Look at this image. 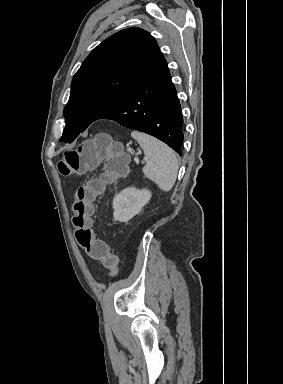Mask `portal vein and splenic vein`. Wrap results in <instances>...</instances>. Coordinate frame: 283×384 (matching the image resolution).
Masks as SVG:
<instances>
[{
  "mask_svg": "<svg viewBox=\"0 0 283 384\" xmlns=\"http://www.w3.org/2000/svg\"><path fill=\"white\" fill-rule=\"evenodd\" d=\"M146 160H148V158H146ZM134 162H136V164H139L138 158H134Z\"/></svg>",
  "mask_w": 283,
  "mask_h": 384,
  "instance_id": "portal-vein-and-splenic-vein-1",
  "label": "portal vein and splenic vein"
}]
</instances>
